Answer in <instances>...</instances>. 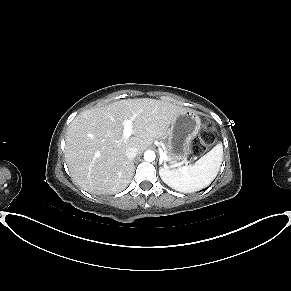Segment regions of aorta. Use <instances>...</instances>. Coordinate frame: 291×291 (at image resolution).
<instances>
[{
    "instance_id": "1",
    "label": "aorta",
    "mask_w": 291,
    "mask_h": 291,
    "mask_svg": "<svg viewBox=\"0 0 291 291\" xmlns=\"http://www.w3.org/2000/svg\"><path fill=\"white\" fill-rule=\"evenodd\" d=\"M155 157H156V155H155L154 151H152V150H147L144 153L145 161L153 162L155 160Z\"/></svg>"
}]
</instances>
